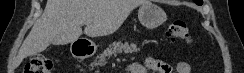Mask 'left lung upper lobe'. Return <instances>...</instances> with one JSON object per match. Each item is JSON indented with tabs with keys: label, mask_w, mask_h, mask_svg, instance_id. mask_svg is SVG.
Wrapping results in <instances>:
<instances>
[{
	"label": "left lung upper lobe",
	"mask_w": 244,
	"mask_h": 73,
	"mask_svg": "<svg viewBox=\"0 0 244 73\" xmlns=\"http://www.w3.org/2000/svg\"><path fill=\"white\" fill-rule=\"evenodd\" d=\"M198 5H202L203 1L202 0H194Z\"/></svg>",
	"instance_id": "obj_1"
}]
</instances>
